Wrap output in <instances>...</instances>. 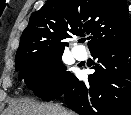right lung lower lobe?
Returning <instances> with one entry per match:
<instances>
[{
	"instance_id": "obj_1",
	"label": "right lung lower lobe",
	"mask_w": 131,
	"mask_h": 115,
	"mask_svg": "<svg viewBox=\"0 0 131 115\" xmlns=\"http://www.w3.org/2000/svg\"><path fill=\"white\" fill-rule=\"evenodd\" d=\"M88 82L75 76L62 95L68 108L80 115H131V41L102 47Z\"/></svg>"
}]
</instances>
